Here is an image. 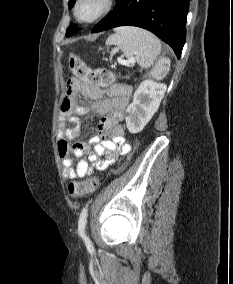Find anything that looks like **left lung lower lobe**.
Wrapping results in <instances>:
<instances>
[{
	"label": "left lung lower lobe",
	"mask_w": 233,
	"mask_h": 284,
	"mask_svg": "<svg viewBox=\"0 0 233 284\" xmlns=\"http://www.w3.org/2000/svg\"><path fill=\"white\" fill-rule=\"evenodd\" d=\"M188 8L189 0H117L113 11L91 32L124 25L141 27L169 44L179 59L186 38Z\"/></svg>",
	"instance_id": "1"
}]
</instances>
